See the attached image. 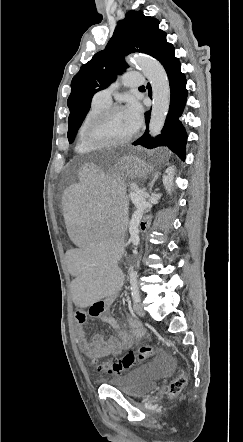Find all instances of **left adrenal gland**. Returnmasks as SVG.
I'll return each mask as SVG.
<instances>
[{"instance_id": "1", "label": "left adrenal gland", "mask_w": 243, "mask_h": 442, "mask_svg": "<svg viewBox=\"0 0 243 442\" xmlns=\"http://www.w3.org/2000/svg\"><path fill=\"white\" fill-rule=\"evenodd\" d=\"M158 177H159V173H158V172H155L154 175H153V179H152V181H151L150 184H149V187H150V188H152V186L154 185V183H155V181L158 179Z\"/></svg>"}]
</instances>
